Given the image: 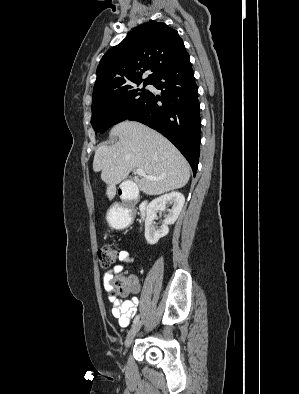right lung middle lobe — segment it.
I'll use <instances>...</instances> for the list:
<instances>
[{
	"label": "right lung middle lobe",
	"instance_id": "dd1d6c3e",
	"mask_svg": "<svg viewBox=\"0 0 299 394\" xmlns=\"http://www.w3.org/2000/svg\"><path fill=\"white\" fill-rule=\"evenodd\" d=\"M141 82H137V86ZM144 86L151 82H144ZM149 91L135 88L134 83L96 92L92 97L91 125L95 133H103L112 125L125 120L146 99Z\"/></svg>",
	"mask_w": 299,
	"mask_h": 394
}]
</instances>
